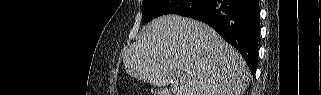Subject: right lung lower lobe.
Segmentation results:
<instances>
[{
  "mask_svg": "<svg viewBox=\"0 0 321 95\" xmlns=\"http://www.w3.org/2000/svg\"><path fill=\"white\" fill-rule=\"evenodd\" d=\"M186 17L214 28L241 53L254 76L260 33L258 0H207L196 13Z\"/></svg>",
  "mask_w": 321,
  "mask_h": 95,
  "instance_id": "1",
  "label": "right lung lower lobe"
}]
</instances>
